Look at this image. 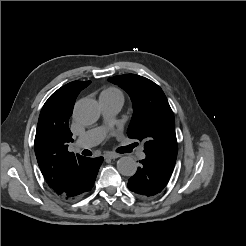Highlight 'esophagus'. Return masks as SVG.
I'll return each instance as SVG.
<instances>
[{
	"instance_id": "34e87169",
	"label": "esophagus",
	"mask_w": 246,
	"mask_h": 246,
	"mask_svg": "<svg viewBox=\"0 0 246 246\" xmlns=\"http://www.w3.org/2000/svg\"><path fill=\"white\" fill-rule=\"evenodd\" d=\"M119 157H120V154H117V153L107 152L104 154V158L106 159H117Z\"/></svg>"
}]
</instances>
